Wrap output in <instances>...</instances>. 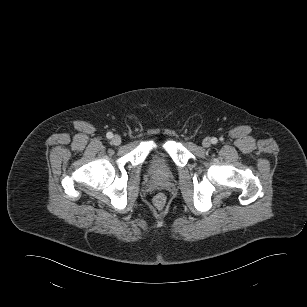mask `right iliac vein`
Listing matches in <instances>:
<instances>
[{"label":"right iliac vein","instance_id":"right-iliac-vein-1","mask_svg":"<svg viewBox=\"0 0 307 307\" xmlns=\"http://www.w3.org/2000/svg\"><path fill=\"white\" fill-rule=\"evenodd\" d=\"M112 143L116 146L120 145L121 144V137L118 136V135H115L113 138H112Z\"/></svg>","mask_w":307,"mask_h":307}]
</instances>
